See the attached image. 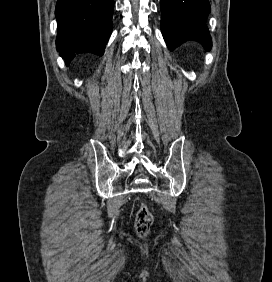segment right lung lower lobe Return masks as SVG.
I'll use <instances>...</instances> for the list:
<instances>
[{
  "label": "right lung lower lobe",
  "instance_id": "98d812e1",
  "mask_svg": "<svg viewBox=\"0 0 272 282\" xmlns=\"http://www.w3.org/2000/svg\"><path fill=\"white\" fill-rule=\"evenodd\" d=\"M113 0H57V50L66 65L80 53L103 55L112 32Z\"/></svg>",
  "mask_w": 272,
  "mask_h": 282
}]
</instances>
